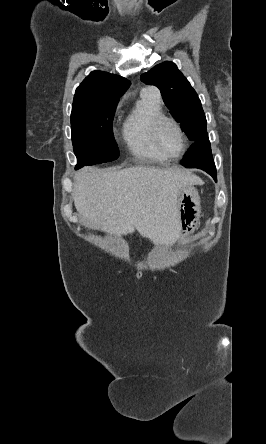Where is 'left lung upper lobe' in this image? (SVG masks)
<instances>
[{
	"label": "left lung upper lobe",
	"mask_w": 266,
	"mask_h": 444,
	"mask_svg": "<svg viewBox=\"0 0 266 444\" xmlns=\"http://www.w3.org/2000/svg\"><path fill=\"white\" fill-rule=\"evenodd\" d=\"M141 80L160 89L166 106L190 140L198 141L208 135L200 99L173 62L156 65L142 74Z\"/></svg>",
	"instance_id": "5c2ea615"
}]
</instances>
